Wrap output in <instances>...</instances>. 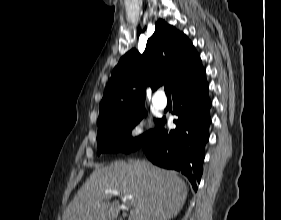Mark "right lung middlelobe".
<instances>
[{
  "label": "right lung middle lobe",
  "instance_id": "dd1d6c3e",
  "mask_svg": "<svg viewBox=\"0 0 281 220\" xmlns=\"http://www.w3.org/2000/svg\"><path fill=\"white\" fill-rule=\"evenodd\" d=\"M145 115L146 111L143 108L127 115L110 118L98 124V155L100 153H130L139 149L155 131L150 130L139 137H131V130ZM159 121H155L156 127Z\"/></svg>",
  "mask_w": 281,
  "mask_h": 220
}]
</instances>
